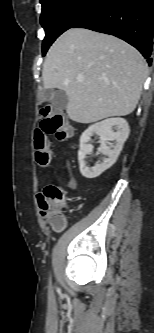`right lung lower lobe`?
Wrapping results in <instances>:
<instances>
[{"label":"right lung lower lobe","mask_w":154,"mask_h":333,"mask_svg":"<svg viewBox=\"0 0 154 333\" xmlns=\"http://www.w3.org/2000/svg\"><path fill=\"white\" fill-rule=\"evenodd\" d=\"M71 28L114 35L136 47L151 64L154 0H99Z\"/></svg>","instance_id":"right-lung-lower-lobe-1"}]
</instances>
